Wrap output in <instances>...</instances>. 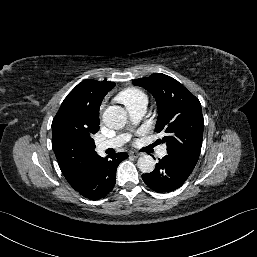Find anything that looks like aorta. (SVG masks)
<instances>
[{"mask_svg": "<svg viewBox=\"0 0 257 257\" xmlns=\"http://www.w3.org/2000/svg\"><path fill=\"white\" fill-rule=\"evenodd\" d=\"M104 124L111 129H122L127 122V113L121 106H109L103 113ZM138 167L143 173H150L155 168V161L150 155L138 159Z\"/></svg>", "mask_w": 257, "mask_h": 257, "instance_id": "aorta-1", "label": "aorta"}]
</instances>
